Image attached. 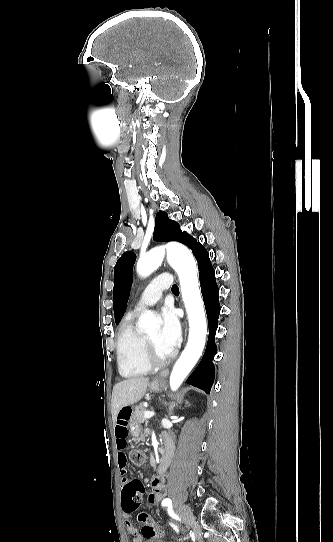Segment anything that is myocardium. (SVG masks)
<instances>
[{
    "mask_svg": "<svg viewBox=\"0 0 333 542\" xmlns=\"http://www.w3.org/2000/svg\"><path fill=\"white\" fill-rule=\"evenodd\" d=\"M175 355V353H172L167 358H159L156 355L154 348L148 338L146 336L143 337L142 356L146 364H148L150 367L166 366L175 358Z\"/></svg>",
    "mask_w": 333,
    "mask_h": 542,
    "instance_id": "1",
    "label": "myocardium"
}]
</instances>
